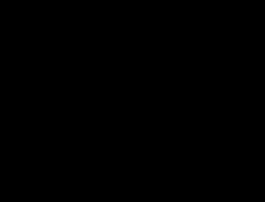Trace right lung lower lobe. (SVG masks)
Returning <instances> with one entry per match:
<instances>
[{"label": "right lung lower lobe", "mask_w": 265, "mask_h": 202, "mask_svg": "<svg viewBox=\"0 0 265 202\" xmlns=\"http://www.w3.org/2000/svg\"><path fill=\"white\" fill-rule=\"evenodd\" d=\"M50 105L58 128L71 120V110L77 108L80 129L71 134L59 131L55 139L84 160L107 153L118 125L135 112L134 106L126 103L118 81L108 79L74 80L56 86Z\"/></svg>", "instance_id": "1"}]
</instances>
